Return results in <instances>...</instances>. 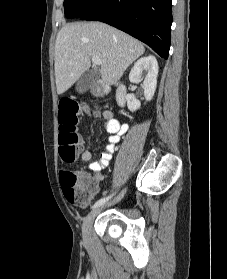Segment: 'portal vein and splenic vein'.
<instances>
[{"label":"portal vein and splenic vein","instance_id":"portal-vein-and-splenic-vein-1","mask_svg":"<svg viewBox=\"0 0 227 279\" xmlns=\"http://www.w3.org/2000/svg\"><path fill=\"white\" fill-rule=\"evenodd\" d=\"M92 62L94 63V65H101L102 61L99 57H92Z\"/></svg>","mask_w":227,"mask_h":279}]
</instances>
